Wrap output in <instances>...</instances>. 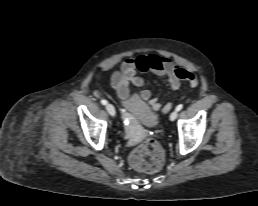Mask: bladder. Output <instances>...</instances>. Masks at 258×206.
I'll return each instance as SVG.
<instances>
[{"label": "bladder", "instance_id": "obj_1", "mask_svg": "<svg viewBox=\"0 0 258 206\" xmlns=\"http://www.w3.org/2000/svg\"><path fill=\"white\" fill-rule=\"evenodd\" d=\"M122 105L127 112L132 114L142 125L155 127L158 124V114L139 96L131 95L126 97Z\"/></svg>", "mask_w": 258, "mask_h": 206}]
</instances>
